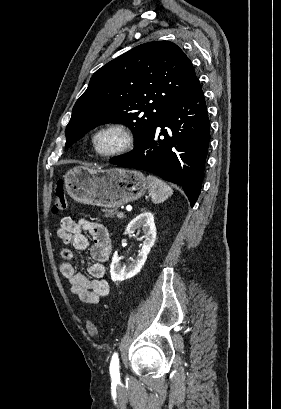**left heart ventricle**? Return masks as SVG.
<instances>
[{
    "mask_svg": "<svg viewBox=\"0 0 281 409\" xmlns=\"http://www.w3.org/2000/svg\"><path fill=\"white\" fill-rule=\"evenodd\" d=\"M112 144H113V140L111 137H104L100 140L99 147L102 150H106L110 148Z\"/></svg>",
    "mask_w": 281,
    "mask_h": 409,
    "instance_id": "obj_1",
    "label": "left heart ventricle"
}]
</instances>
